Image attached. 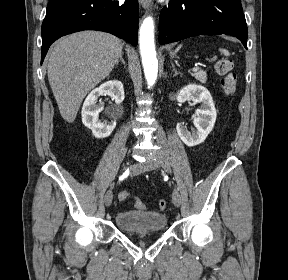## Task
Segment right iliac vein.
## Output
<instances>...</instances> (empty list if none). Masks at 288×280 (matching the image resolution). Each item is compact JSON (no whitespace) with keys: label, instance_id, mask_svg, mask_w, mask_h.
<instances>
[{"label":"right iliac vein","instance_id":"right-iliac-vein-1","mask_svg":"<svg viewBox=\"0 0 288 280\" xmlns=\"http://www.w3.org/2000/svg\"><path fill=\"white\" fill-rule=\"evenodd\" d=\"M113 200V192L111 189L107 190L104 196V203L107 207H109Z\"/></svg>","mask_w":288,"mask_h":280}]
</instances>
